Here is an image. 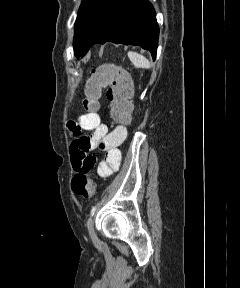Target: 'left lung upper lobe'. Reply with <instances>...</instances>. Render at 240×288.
Masks as SVG:
<instances>
[{
  "label": "left lung upper lobe",
  "mask_w": 240,
  "mask_h": 288,
  "mask_svg": "<svg viewBox=\"0 0 240 288\" xmlns=\"http://www.w3.org/2000/svg\"><path fill=\"white\" fill-rule=\"evenodd\" d=\"M109 0H83L78 11L74 32V54L85 44L99 20Z\"/></svg>",
  "instance_id": "left-lung-upper-lobe-1"
}]
</instances>
